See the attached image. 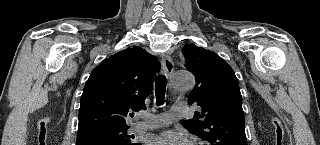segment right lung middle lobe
<instances>
[{
  "mask_svg": "<svg viewBox=\"0 0 320 145\" xmlns=\"http://www.w3.org/2000/svg\"><path fill=\"white\" fill-rule=\"evenodd\" d=\"M128 127H121V128H103L98 129L93 132H90L84 136H96L101 137L112 142L117 143L118 145H140L134 143L132 139L134 138L133 135H127Z\"/></svg>",
  "mask_w": 320,
  "mask_h": 145,
  "instance_id": "right-lung-middle-lobe-1",
  "label": "right lung middle lobe"
}]
</instances>
